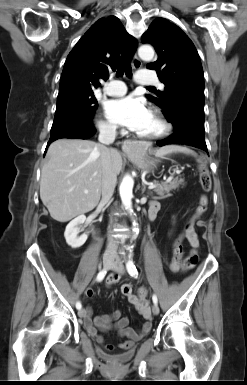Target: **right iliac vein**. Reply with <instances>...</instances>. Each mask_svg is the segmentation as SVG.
Wrapping results in <instances>:
<instances>
[{"mask_svg":"<svg viewBox=\"0 0 247 385\" xmlns=\"http://www.w3.org/2000/svg\"><path fill=\"white\" fill-rule=\"evenodd\" d=\"M112 264H113V259L111 257H106V258L103 259V267H104V269L110 268L112 266ZM85 315H86V310L84 308L80 309L78 311V316L80 318H84Z\"/></svg>","mask_w":247,"mask_h":385,"instance_id":"63e3f726","label":"right iliac vein"}]
</instances>
